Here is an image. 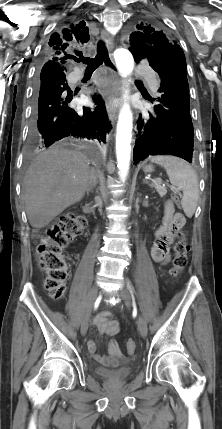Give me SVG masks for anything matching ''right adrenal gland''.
<instances>
[{
  "instance_id": "2a0ac1e0",
  "label": "right adrenal gland",
  "mask_w": 222,
  "mask_h": 429,
  "mask_svg": "<svg viewBox=\"0 0 222 429\" xmlns=\"http://www.w3.org/2000/svg\"><path fill=\"white\" fill-rule=\"evenodd\" d=\"M97 186V181H96V179H92V181L89 183V185H88V187H87V189H86V192H87V195H89V193L95 188Z\"/></svg>"
}]
</instances>
